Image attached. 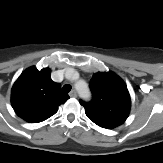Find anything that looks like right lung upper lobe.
I'll return each instance as SVG.
<instances>
[{"instance_id": "obj_1", "label": "right lung upper lobe", "mask_w": 163, "mask_h": 163, "mask_svg": "<svg viewBox=\"0 0 163 163\" xmlns=\"http://www.w3.org/2000/svg\"><path fill=\"white\" fill-rule=\"evenodd\" d=\"M51 70L26 69L14 83L11 90V103L16 114L30 123L44 121L58 111L68 94L61 91V86L52 81Z\"/></svg>"}]
</instances>
